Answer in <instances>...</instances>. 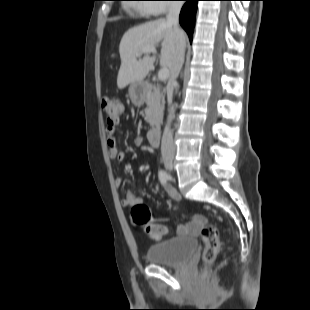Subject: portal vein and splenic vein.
Here are the masks:
<instances>
[{"label":"portal vein and splenic vein","mask_w":310,"mask_h":310,"mask_svg":"<svg viewBox=\"0 0 310 310\" xmlns=\"http://www.w3.org/2000/svg\"><path fill=\"white\" fill-rule=\"evenodd\" d=\"M143 53H153L156 54V48L155 47H147L144 48L139 56ZM169 76V69L168 68H161L160 71L158 72V79L161 81H164L168 78Z\"/></svg>","instance_id":"portal-vein-and-splenic-vein-1"}]
</instances>
